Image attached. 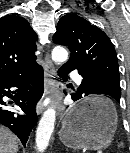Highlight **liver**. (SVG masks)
I'll use <instances>...</instances> for the list:
<instances>
[{"label": "liver", "mask_w": 130, "mask_h": 153, "mask_svg": "<svg viewBox=\"0 0 130 153\" xmlns=\"http://www.w3.org/2000/svg\"><path fill=\"white\" fill-rule=\"evenodd\" d=\"M18 139L7 128L0 125V153H17Z\"/></svg>", "instance_id": "liver-1"}]
</instances>
